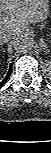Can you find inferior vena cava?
<instances>
[{
  "label": "inferior vena cava",
  "instance_id": "obj_1",
  "mask_svg": "<svg viewBox=\"0 0 51 153\" xmlns=\"http://www.w3.org/2000/svg\"><path fill=\"white\" fill-rule=\"evenodd\" d=\"M12 37H13V34L2 31L0 33V42L5 43V42L11 40Z\"/></svg>",
  "mask_w": 51,
  "mask_h": 153
}]
</instances>
